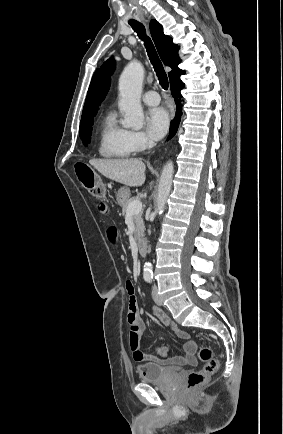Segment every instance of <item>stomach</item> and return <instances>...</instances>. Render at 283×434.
Masks as SVG:
<instances>
[{
  "instance_id": "0dacf381",
  "label": "stomach",
  "mask_w": 283,
  "mask_h": 434,
  "mask_svg": "<svg viewBox=\"0 0 283 434\" xmlns=\"http://www.w3.org/2000/svg\"><path fill=\"white\" fill-rule=\"evenodd\" d=\"M130 197V190L127 187H121L117 192V202L120 206L127 203Z\"/></svg>"
}]
</instances>
